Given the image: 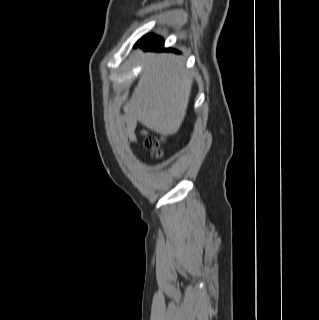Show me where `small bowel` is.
<instances>
[{"label":"small bowel","mask_w":319,"mask_h":320,"mask_svg":"<svg viewBox=\"0 0 319 320\" xmlns=\"http://www.w3.org/2000/svg\"><path fill=\"white\" fill-rule=\"evenodd\" d=\"M122 124L124 126L123 130L125 137L127 138L129 144L131 146H135L137 143V138L135 135L136 122L132 118L125 116L122 120Z\"/></svg>","instance_id":"1"}]
</instances>
